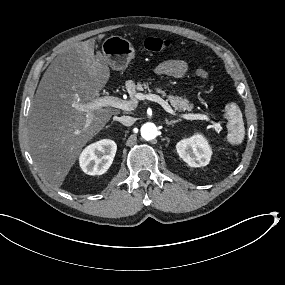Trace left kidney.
<instances>
[{
  "label": "left kidney",
  "instance_id": "left-kidney-1",
  "mask_svg": "<svg viewBox=\"0 0 285 285\" xmlns=\"http://www.w3.org/2000/svg\"><path fill=\"white\" fill-rule=\"evenodd\" d=\"M177 152L191 167L207 165L211 156V151L201 136H194L191 139L179 142Z\"/></svg>",
  "mask_w": 285,
  "mask_h": 285
}]
</instances>
